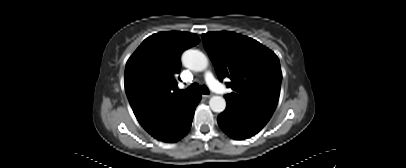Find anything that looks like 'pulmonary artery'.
I'll list each match as a JSON object with an SVG mask.
<instances>
[{
  "mask_svg": "<svg viewBox=\"0 0 406 168\" xmlns=\"http://www.w3.org/2000/svg\"><path fill=\"white\" fill-rule=\"evenodd\" d=\"M204 79L206 81V83L208 84V86L215 92L219 93V94H228L229 90L223 86L222 84H220L212 75L211 72H206L204 75Z\"/></svg>",
  "mask_w": 406,
  "mask_h": 168,
  "instance_id": "e3ab8cb5",
  "label": "pulmonary artery"
}]
</instances>
